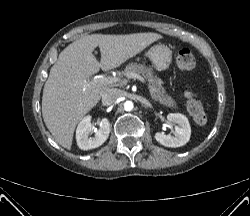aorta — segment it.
<instances>
[{
	"label": "aorta",
	"instance_id": "aorta-1",
	"mask_svg": "<svg viewBox=\"0 0 250 216\" xmlns=\"http://www.w3.org/2000/svg\"><path fill=\"white\" fill-rule=\"evenodd\" d=\"M124 108L126 111H131L133 109V102L132 101H126L124 103Z\"/></svg>",
	"mask_w": 250,
	"mask_h": 216
}]
</instances>
